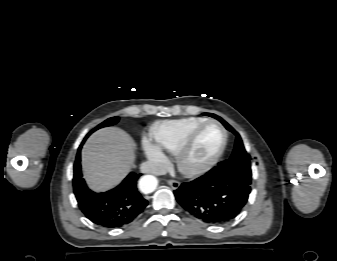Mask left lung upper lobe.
<instances>
[{"mask_svg": "<svg viewBox=\"0 0 337 261\" xmlns=\"http://www.w3.org/2000/svg\"><path fill=\"white\" fill-rule=\"evenodd\" d=\"M211 116L220 120L224 126L232 131L236 135V143L233 154L228 160L218 163V168H227L234 172L238 177L246 181L249 185H251V162L249 160L250 156L247 154L242 139L240 135L223 119L220 117L211 114Z\"/></svg>", "mask_w": 337, "mask_h": 261, "instance_id": "5c2ea615", "label": "left lung upper lobe"}]
</instances>
